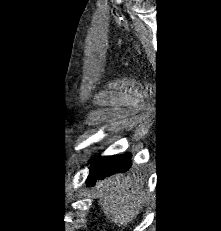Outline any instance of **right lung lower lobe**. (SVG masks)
Returning <instances> with one entry per match:
<instances>
[{
  "instance_id": "obj_1",
  "label": "right lung lower lobe",
  "mask_w": 221,
  "mask_h": 231,
  "mask_svg": "<svg viewBox=\"0 0 221 231\" xmlns=\"http://www.w3.org/2000/svg\"><path fill=\"white\" fill-rule=\"evenodd\" d=\"M130 157V154H123L94 160L86 181L87 186H93L97 180H102L113 174L128 171L132 165Z\"/></svg>"
}]
</instances>
